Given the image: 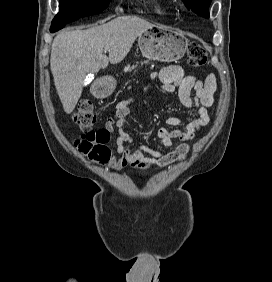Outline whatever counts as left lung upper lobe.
I'll return each instance as SVG.
<instances>
[{
  "label": "left lung upper lobe",
  "instance_id": "1",
  "mask_svg": "<svg viewBox=\"0 0 272 282\" xmlns=\"http://www.w3.org/2000/svg\"><path fill=\"white\" fill-rule=\"evenodd\" d=\"M185 6L202 17H209L211 0H183Z\"/></svg>",
  "mask_w": 272,
  "mask_h": 282
}]
</instances>
